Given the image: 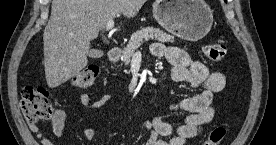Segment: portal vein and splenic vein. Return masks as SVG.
<instances>
[{
    "mask_svg": "<svg viewBox=\"0 0 276 145\" xmlns=\"http://www.w3.org/2000/svg\"><path fill=\"white\" fill-rule=\"evenodd\" d=\"M113 27H114V21H113V20H109V21L107 22V24H106V30H107V31H110V30L113 29Z\"/></svg>",
    "mask_w": 276,
    "mask_h": 145,
    "instance_id": "1",
    "label": "portal vein and splenic vein"
}]
</instances>
